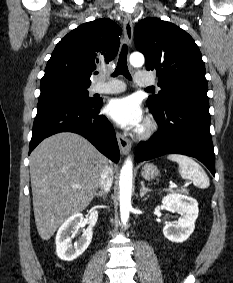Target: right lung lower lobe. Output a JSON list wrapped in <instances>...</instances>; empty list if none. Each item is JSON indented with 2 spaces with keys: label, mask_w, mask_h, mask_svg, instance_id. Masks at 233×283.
I'll return each instance as SVG.
<instances>
[{
  "label": "right lung lower lobe",
  "mask_w": 233,
  "mask_h": 283,
  "mask_svg": "<svg viewBox=\"0 0 233 283\" xmlns=\"http://www.w3.org/2000/svg\"><path fill=\"white\" fill-rule=\"evenodd\" d=\"M102 100L86 102L65 96L39 98L33 124L29 154L46 137L59 132H74L88 139L101 153L118 162L120 153L115 131L100 115Z\"/></svg>",
  "instance_id": "right-lung-lower-lobe-1"
}]
</instances>
